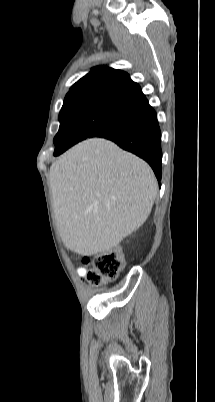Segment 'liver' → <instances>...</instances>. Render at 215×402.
Masks as SVG:
<instances>
[{
    "mask_svg": "<svg viewBox=\"0 0 215 402\" xmlns=\"http://www.w3.org/2000/svg\"><path fill=\"white\" fill-rule=\"evenodd\" d=\"M54 214L65 246L109 251L147 220L157 195L150 166L103 138L87 139L50 167Z\"/></svg>",
    "mask_w": 215,
    "mask_h": 402,
    "instance_id": "liver-1",
    "label": "liver"
}]
</instances>
